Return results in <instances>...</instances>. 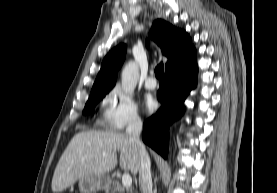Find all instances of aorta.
I'll return each instance as SVG.
<instances>
[{"label":"aorta","mask_w":277,"mask_h":193,"mask_svg":"<svg viewBox=\"0 0 277 193\" xmlns=\"http://www.w3.org/2000/svg\"><path fill=\"white\" fill-rule=\"evenodd\" d=\"M139 80V68L134 61L128 62L122 70L121 85L127 94H132Z\"/></svg>","instance_id":"762f6f07"}]
</instances>
